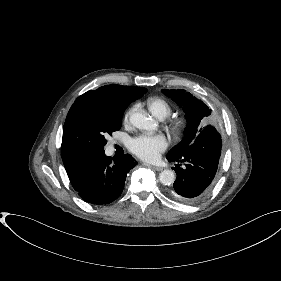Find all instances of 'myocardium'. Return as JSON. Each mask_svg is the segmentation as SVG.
<instances>
[{"mask_svg": "<svg viewBox=\"0 0 281 281\" xmlns=\"http://www.w3.org/2000/svg\"><path fill=\"white\" fill-rule=\"evenodd\" d=\"M168 126L175 135H180L187 127V120L183 117L172 118L168 121Z\"/></svg>", "mask_w": 281, "mask_h": 281, "instance_id": "myocardium-1", "label": "myocardium"}]
</instances>
